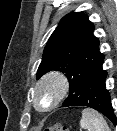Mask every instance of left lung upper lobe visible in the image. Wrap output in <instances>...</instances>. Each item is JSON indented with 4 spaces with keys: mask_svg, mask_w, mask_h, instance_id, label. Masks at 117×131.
<instances>
[{
    "mask_svg": "<svg viewBox=\"0 0 117 131\" xmlns=\"http://www.w3.org/2000/svg\"><path fill=\"white\" fill-rule=\"evenodd\" d=\"M94 26L83 13L66 15L52 33L44 49L37 78L50 70L66 74L70 90L83 86L94 69L104 60ZM63 102V107L68 103Z\"/></svg>",
    "mask_w": 117,
    "mask_h": 131,
    "instance_id": "5c2ea615",
    "label": "left lung upper lobe"
}]
</instances>
